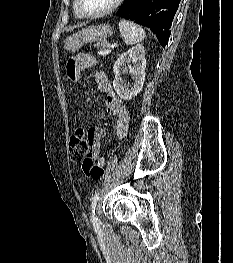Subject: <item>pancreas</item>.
<instances>
[{
	"label": "pancreas",
	"mask_w": 233,
	"mask_h": 263,
	"mask_svg": "<svg viewBox=\"0 0 233 263\" xmlns=\"http://www.w3.org/2000/svg\"><path fill=\"white\" fill-rule=\"evenodd\" d=\"M108 45L106 40H101L99 42H97L96 47L99 49H103Z\"/></svg>",
	"instance_id": "1"
}]
</instances>
